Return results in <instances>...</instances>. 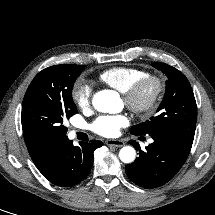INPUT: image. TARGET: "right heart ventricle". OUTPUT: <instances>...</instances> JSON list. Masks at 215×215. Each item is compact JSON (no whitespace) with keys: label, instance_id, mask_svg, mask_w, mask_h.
<instances>
[{"label":"right heart ventricle","instance_id":"obj_1","mask_svg":"<svg viewBox=\"0 0 215 215\" xmlns=\"http://www.w3.org/2000/svg\"><path fill=\"white\" fill-rule=\"evenodd\" d=\"M144 69L127 66L109 68L99 75V80L109 87L124 93L134 82L145 76Z\"/></svg>","mask_w":215,"mask_h":215}]
</instances>
